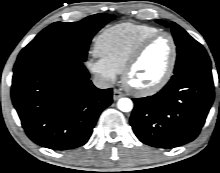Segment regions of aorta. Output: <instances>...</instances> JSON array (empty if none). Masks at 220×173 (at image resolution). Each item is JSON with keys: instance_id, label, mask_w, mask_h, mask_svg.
<instances>
[{"instance_id": "762f6f07", "label": "aorta", "mask_w": 220, "mask_h": 173, "mask_svg": "<svg viewBox=\"0 0 220 173\" xmlns=\"http://www.w3.org/2000/svg\"><path fill=\"white\" fill-rule=\"evenodd\" d=\"M117 106L123 112H130L133 109V103L129 98L119 99Z\"/></svg>"}]
</instances>
